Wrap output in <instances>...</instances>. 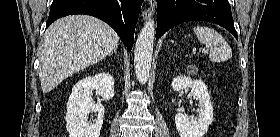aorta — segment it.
<instances>
[{"mask_svg": "<svg viewBox=\"0 0 280 137\" xmlns=\"http://www.w3.org/2000/svg\"><path fill=\"white\" fill-rule=\"evenodd\" d=\"M155 38V23L149 19L141 29L134 50V67L138 81L145 84L149 78Z\"/></svg>", "mask_w": 280, "mask_h": 137, "instance_id": "762f6f07", "label": "aorta"}]
</instances>
